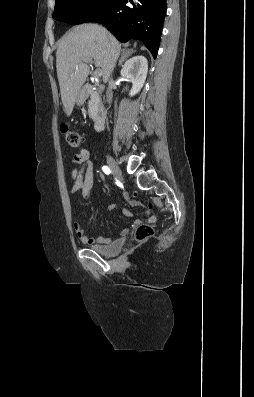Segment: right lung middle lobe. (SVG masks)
<instances>
[{"mask_svg": "<svg viewBox=\"0 0 254 397\" xmlns=\"http://www.w3.org/2000/svg\"><path fill=\"white\" fill-rule=\"evenodd\" d=\"M114 0H56L53 18L70 24L91 21L106 11Z\"/></svg>", "mask_w": 254, "mask_h": 397, "instance_id": "right-lung-middle-lobe-1", "label": "right lung middle lobe"}]
</instances>
